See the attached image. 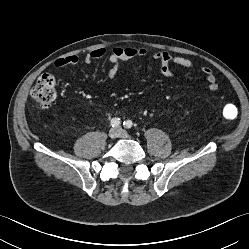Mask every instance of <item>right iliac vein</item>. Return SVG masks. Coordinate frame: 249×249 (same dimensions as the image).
<instances>
[{
  "label": "right iliac vein",
  "instance_id": "right-iliac-vein-1",
  "mask_svg": "<svg viewBox=\"0 0 249 249\" xmlns=\"http://www.w3.org/2000/svg\"><path fill=\"white\" fill-rule=\"evenodd\" d=\"M111 139L116 138L119 135V130L117 128H111L108 133Z\"/></svg>",
  "mask_w": 249,
  "mask_h": 249
}]
</instances>
